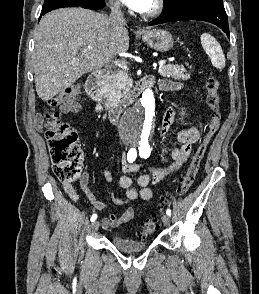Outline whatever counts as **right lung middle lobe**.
<instances>
[{
	"instance_id": "right-lung-middle-lobe-1",
	"label": "right lung middle lobe",
	"mask_w": 259,
	"mask_h": 294,
	"mask_svg": "<svg viewBox=\"0 0 259 294\" xmlns=\"http://www.w3.org/2000/svg\"><path fill=\"white\" fill-rule=\"evenodd\" d=\"M96 0H45L41 13H46L53 7L59 4H73L78 6H85L94 3Z\"/></svg>"
}]
</instances>
